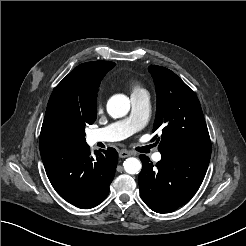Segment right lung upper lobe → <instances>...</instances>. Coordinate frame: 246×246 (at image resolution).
I'll return each mask as SVG.
<instances>
[{"instance_id": "right-lung-upper-lobe-1", "label": "right lung upper lobe", "mask_w": 246, "mask_h": 246, "mask_svg": "<svg viewBox=\"0 0 246 246\" xmlns=\"http://www.w3.org/2000/svg\"><path fill=\"white\" fill-rule=\"evenodd\" d=\"M115 63L93 61L77 66L53 90L42 124L40 150L56 142L63 141L62 127L68 114L74 108L83 110L93 107V92ZM97 112V95L96 106Z\"/></svg>"}]
</instances>
